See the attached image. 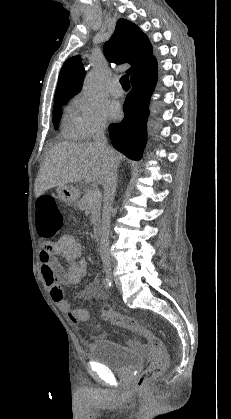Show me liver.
Returning a JSON list of instances; mask_svg holds the SVG:
<instances>
[{
	"label": "liver",
	"instance_id": "liver-1",
	"mask_svg": "<svg viewBox=\"0 0 231 419\" xmlns=\"http://www.w3.org/2000/svg\"><path fill=\"white\" fill-rule=\"evenodd\" d=\"M113 152L117 163L125 159L118 151ZM109 166L110 160L92 142L58 143L50 149L40 167L34 185L35 197H40L50 188L83 180L104 184Z\"/></svg>",
	"mask_w": 231,
	"mask_h": 419
}]
</instances>
